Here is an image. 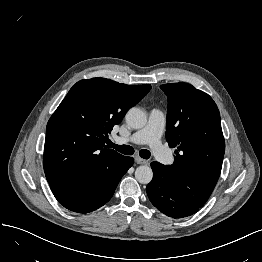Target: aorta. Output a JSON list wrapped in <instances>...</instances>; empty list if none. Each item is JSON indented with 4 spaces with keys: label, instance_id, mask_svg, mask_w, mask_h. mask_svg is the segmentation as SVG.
I'll return each instance as SVG.
<instances>
[{
    "label": "aorta",
    "instance_id": "762f6f07",
    "mask_svg": "<svg viewBox=\"0 0 262 262\" xmlns=\"http://www.w3.org/2000/svg\"><path fill=\"white\" fill-rule=\"evenodd\" d=\"M126 122L133 129H140L147 123L146 113L136 107L131 108L126 114ZM135 178L141 184H148L152 181L153 171L151 167L142 165L136 168Z\"/></svg>",
    "mask_w": 262,
    "mask_h": 262
}]
</instances>
